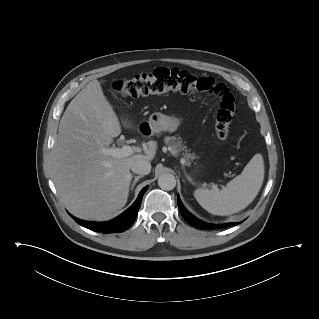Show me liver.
Returning a JSON list of instances; mask_svg holds the SVG:
<instances>
[{
  "label": "liver",
  "instance_id": "1",
  "mask_svg": "<svg viewBox=\"0 0 319 319\" xmlns=\"http://www.w3.org/2000/svg\"><path fill=\"white\" fill-rule=\"evenodd\" d=\"M129 128V123L123 121ZM121 133V125L98 80L70 102L52 151V179L65 207L84 220L105 221L122 209L132 180L131 164L153 160L156 143L145 154L114 158L101 152Z\"/></svg>",
  "mask_w": 319,
  "mask_h": 319
}]
</instances>
